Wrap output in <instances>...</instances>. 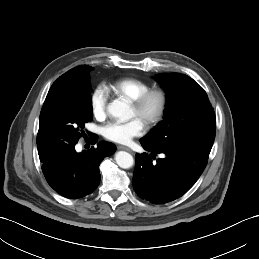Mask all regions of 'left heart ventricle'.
I'll return each mask as SVG.
<instances>
[{
	"label": "left heart ventricle",
	"instance_id": "1",
	"mask_svg": "<svg viewBox=\"0 0 259 259\" xmlns=\"http://www.w3.org/2000/svg\"><path fill=\"white\" fill-rule=\"evenodd\" d=\"M159 105V99L157 96H152L141 109H135L130 107V115L140 118L146 123L157 111Z\"/></svg>",
	"mask_w": 259,
	"mask_h": 259
}]
</instances>
